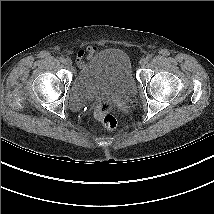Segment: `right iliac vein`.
<instances>
[{
	"mask_svg": "<svg viewBox=\"0 0 214 214\" xmlns=\"http://www.w3.org/2000/svg\"><path fill=\"white\" fill-rule=\"evenodd\" d=\"M64 64H65L67 67H69V66H71V61H70L69 59H67V60L64 61Z\"/></svg>",
	"mask_w": 214,
	"mask_h": 214,
	"instance_id": "63e3f726",
	"label": "right iliac vein"
}]
</instances>
